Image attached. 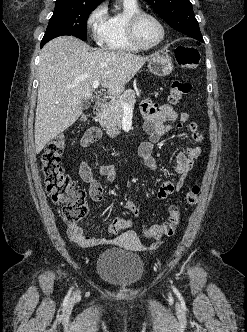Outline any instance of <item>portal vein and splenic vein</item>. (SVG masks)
<instances>
[{
    "label": "portal vein and splenic vein",
    "mask_w": 247,
    "mask_h": 332,
    "mask_svg": "<svg viewBox=\"0 0 247 332\" xmlns=\"http://www.w3.org/2000/svg\"><path fill=\"white\" fill-rule=\"evenodd\" d=\"M98 86H99V81L98 80H95L91 85L92 89H96ZM122 107L126 111L132 110V107L128 103H125V102L122 103Z\"/></svg>",
    "instance_id": "portal-vein-and-splenic-vein-1"
}]
</instances>
